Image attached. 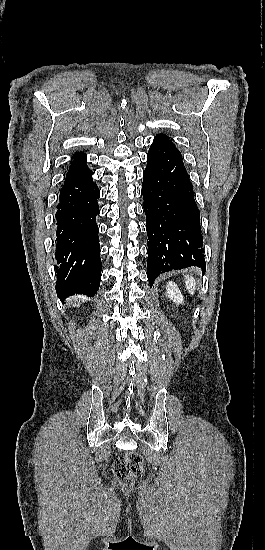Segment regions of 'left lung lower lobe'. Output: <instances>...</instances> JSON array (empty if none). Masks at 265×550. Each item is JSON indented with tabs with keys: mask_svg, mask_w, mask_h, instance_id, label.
<instances>
[{
	"mask_svg": "<svg viewBox=\"0 0 265 550\" xmlns=\"http://www.w3.org/2000/svg\"><path fill=\"white\" fill-rule=\"evenodd\" d=\"M142 195L148 233L150 286L162 273L206 268L200 213L193 186L177 148L153 141L143 172Z\"/></svg>",
	"mask_w": 265,
	"mask_h": 550,
	"instance_id": "obj_1",
	"label": "left lung lower lobe"
}]
</instances>
